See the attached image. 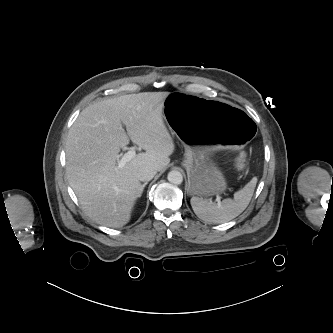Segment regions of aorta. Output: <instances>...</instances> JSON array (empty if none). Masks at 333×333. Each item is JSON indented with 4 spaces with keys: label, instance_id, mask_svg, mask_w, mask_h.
<instances>
[{
    "label": "aorta",
    "instance_id": "1",
    "mask_svg": "<svg viewBox=\"0 0 333 333\" xmlns=\"http://www.w3.org/2000/svg\"><path fill=\"white\" fill-rule=\"evenodd\" d=\"M167 178L170 183L175 185H179L183 182V176L179 171H170Z\"/></svg>",
    "mask_w": 333,
    "mask_h": 333
}]
</instances>
